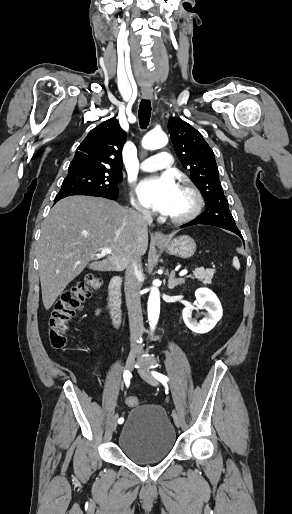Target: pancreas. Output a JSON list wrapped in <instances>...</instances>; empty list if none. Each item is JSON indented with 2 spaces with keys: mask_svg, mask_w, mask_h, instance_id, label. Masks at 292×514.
Here are the masks:
<instances>
[{
  "mask_svg": "<svg viewBox=\"0 0 292 514\" xmlns=\"http://www.w3.org/2000/svg\"><path fill=\"white\" fill-rule=\"evenodd\" d=\"M214 276V270H205V268H196L192 276L187 278H197L202 284H212V278Z\"/></svg>",
  "mask_w": 292,
  "mask_h": 514,
  "instance_id": "pancreas-1",
  "label": "pancreas"
}]
</instances>
